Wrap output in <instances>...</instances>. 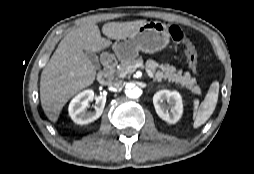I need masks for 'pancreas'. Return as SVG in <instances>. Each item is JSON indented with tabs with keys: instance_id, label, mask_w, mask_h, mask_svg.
<instances>
[{
	"instance_id": "obj_1",
	"label": "pancreas",
	"mask_w": 254,
	"mask_h": 174,
	"mask_svg": "<svg viewBox=\"0 0 254 174\" xmlns=\"http://www.w3.org/2000/svg\"><path fill=\"white\" fill-rule=\"evenodd\" d=\"M142 62V57L121 60L116 70V75L120 78L131 76L134 70L130 67ZM159 68L160 70L155 71V80L160 81L164 79L168 82H174L181 87H186L194 94H201V88L197 85L196 79L191 77L189 72L182 74L181 71H177L174 66H170L167 63L160 64Z\"/></svg>"
}]
</instances>
